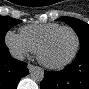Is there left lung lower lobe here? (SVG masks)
Here are the masks:
<instances>
[{
	"label": "left lung lower lobe",
	"mask_w": 89,
	"mask_h": 89,
	"mask_svg": "<svg viewBox=\"0 0 89 89\" xmlns=\"http://www.w3.org/2000/svg\"><path fill=\"white\" fill-rule=\"evenodd\" d=\"M41 89H89V47L80 48L76 59L64 70L45 71Z\"/></svg>",
	"instance_id": "0a47b994"
}]
</instances>
